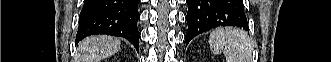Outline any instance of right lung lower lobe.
I'll return each instance as SVG.
<instances>
[{"label":"right lung lower lobe","instance_id":"98d812e1","mask_svg":"<svg viewBox=\"0 0 331 62\" xmlns=\"http://www.w3.org/2000/svg\"><path fill=\"white\" fill-rule=\"evenodd\" d=\"M139 2L140 0H85L79 17L76 43L90 35L106 34L126 38L139 51Z\"/></svg>","mask_w":331,"mask_h":62}]
</instances>
